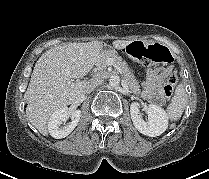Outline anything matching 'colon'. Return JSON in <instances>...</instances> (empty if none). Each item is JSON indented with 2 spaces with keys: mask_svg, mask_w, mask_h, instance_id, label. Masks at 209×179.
I'll return each mask as SVG.
<instances>
[{
  "mask_svg": "<svg viewBox=\"0 0 209 179\" xmlns=\"http://www.w3.org/2000/svg\"><path fill=\"white\" fill-rule=\"evenodd\" d=\"M123 52L131 60L146 65L171 61V55L169 51L165 47L156 44L150 45L136 41L128 44L123 49ZM177 81L178 77L176 72L171 73L163 88L166 98H170L173 95Z\"/></svg>",
  "mask_w": 209,
  "mask_h": 179,
  "instance_id": "colon-1",
  "label": "colon"
}]
</instances>
